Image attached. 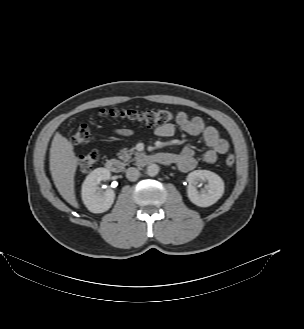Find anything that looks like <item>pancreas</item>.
<instances>
[{"label":"pancreas","mask_w":304,"mask_h":329,"mask_svg":"<svg viewBox=\"0 0 304 329\" xmlns=\"http://www.w3.org/2000/svg\"><path fill=\"white\" fill-rule=\"evenodd\" d=\"M132 155H134L135 158H140L143 156V153L134 152L133 150H127L126 148L120 150V152L118 153L119 158L126 163L131 161Z\"/></svg>","instance_id":"cf45deb5"}]
</instances>
